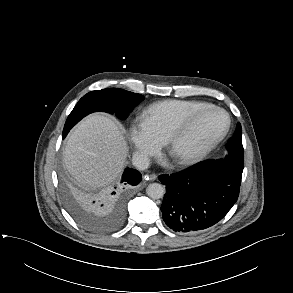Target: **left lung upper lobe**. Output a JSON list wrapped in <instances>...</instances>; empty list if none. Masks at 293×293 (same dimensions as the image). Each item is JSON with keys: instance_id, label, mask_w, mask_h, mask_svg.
<instances>
[{"instance_id": "obj_1", "label": "left lung upper lobe", "mask_w": 293, "mask_h": 293, "mask_svg": "<svg viewBox=\"0 0 293 293\" xmlns=\"http://www.w3.org/2000/svg\"><path fill=\"white\" fill-rule=\"evenodd\" d=\"M242 128L240 123L237 125L233 137L227 143L228 154L221 159L231 163L235 168L243 170L244 168V150L242 146Z\"/></svg>"}]
</instances>
